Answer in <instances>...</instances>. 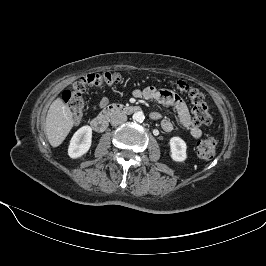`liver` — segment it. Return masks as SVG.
Listing matches in <instances>:
<instances>
[{
  "mask_svg": "<svg viewBox=\"0 0 266 266\" xmlns=\"http://www.w3.org/2000/svg\"><path fill=\"white\" fill-rule=\"evenodd\" d=\"M74 125L73 113L61 98L52 102L46 116V135L51 146H59Z\"/></svg>",
  "mask_w": 266,
  "mask_h": 266,
  "instance_id": "1",
  "label": "liver"
}]
</instances>
